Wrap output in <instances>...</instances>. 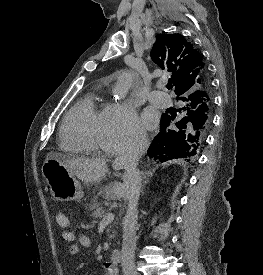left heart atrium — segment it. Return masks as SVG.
I'll return each instance as SVG.
<instances>
[{
    "label": "left heart atrium",
    "mask_w": 263,
    "mask_h": 275,
    "mask_svg": "<svg viewBox=\"0 0 263 275\" xmlns=\"http://www.w3.org/2000/svg\"><path fill=\"white\" fill-rule=\"evenodd\" d=\"M143 123L147 128H154L157 124L156 115L149 110L145 111L143 114Z\"/></svg>",
    "instance_id": "obj_1"
}]
</instances>
